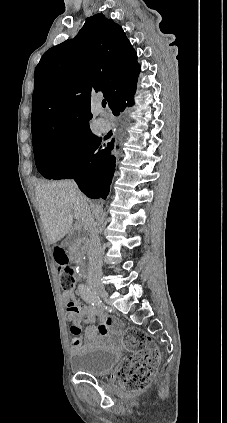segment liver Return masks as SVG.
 Listing matches in <instances>:
<instances>
[{
    "instance_id": "liver-1",
    "label": "liver",
    "mask_w": 227,
    "mask_h": 423,
    "mask_svg": "<svg viewBox=\"0 0 227 423\" xmlns=\"http://www.w3.org/2000/svg\"><path fill=\"white\" fill-rule=\"evenodd\" d=\"M86 200L72 180L36 186L35 202L49 243L72 231L75 213L76 219L83 221Z\"/></svg>"
}]
</instances>
